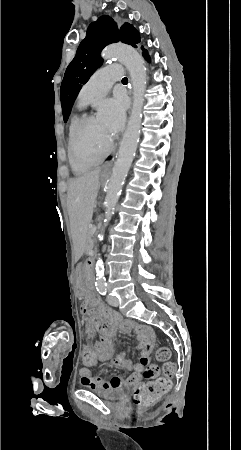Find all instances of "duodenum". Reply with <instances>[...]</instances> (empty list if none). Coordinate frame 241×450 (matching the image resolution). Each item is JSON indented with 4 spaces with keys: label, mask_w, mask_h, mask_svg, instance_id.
Segmentation results:
<instances>
[{
    "label": "duodenum",
    "mask_w": 241,
    "mask_h": 450,
    "mask_svg": "<svg viewBox=\"0 0 241 450\" xmlns=\"http://www.w3.org/2000/svg\"><path fill=\"white\" fill-rule=\"evenodd\" d=\"M86 268V288L91 292L94 288V261L92 258L88 259L85 263Z\"/></svg>",
    "instance_id": "obj_1"
}]
</instances>
